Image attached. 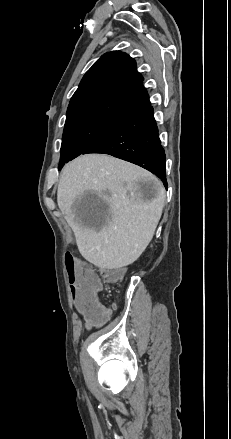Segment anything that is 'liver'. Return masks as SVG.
Instances as JSON below:
<instances>
[{
	"mask_svg": "<svg viewBox=\"0 0 231 439\" xmlns=\"http://www.w3.org/2000/svg\"><path fill=\"white\" fill-rule=\"evenodd\" d=\"M151 184L145 191L140 183ZM107 205L96 216L81 211L84 195ZM165 189L149 171L104 154L82 155L60 178L57 203L74 232L81 255L102 270L135 262L153 238L162 215Z\"/></svg>",
	"mask_w": 231,
	"mask_h": 439,
	"instance_id": "obj_1",
	"label": "liver"
}]
</instances>
